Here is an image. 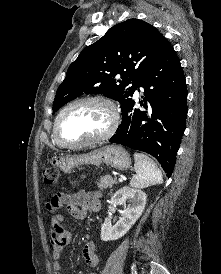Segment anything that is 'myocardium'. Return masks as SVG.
I'll list each match as a JSON object with an SVG mask.
<instances>
[{"instance_id": "f54148a6", "label": "myocardium", "mask_w": 221, "mask_h": 274, "mask_svg": "<svg viewBox=\"0 0 221 274\" xmlns=\"http://www.w3.org/2000/svg\"><path fill=\"white\" fill-rule=\"evenodd\" d=\"M88 102L101 104L108 109L109 114H110L109 126L102 134H100L96 137H93L91 139H88V140H84V141H80V142H67V141L63 140L60 135V122H61L63 115L70 108H72L78 104L88 103ZM119 124H120V112H119L118 107L112 100L102 97V96H85V97H81V98L71 101L59 112V114L57 115V117L55 119L53 133H54L55 140L57 141V143L60 146L65 147V148H70V149H76V148H81V147L97 144V143H100V142H103V141L109 139L115 133Z\"/></svg>"}]
</instances>
